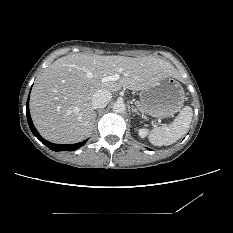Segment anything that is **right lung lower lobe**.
<instances>
[{"label": "right lung lower lobe", "instance_id": "right-lung-lower-lobe-1", "mask_svg": "<svg viewBox=\"0 0 233 233\" xmlns=\"http://www.w3.org/2000/svg\"><path fill=\"white\" fill-rule=\"evenodd\" d=\"M26 114H27V121H28V124H29V127H30L32 133L43 144H45L48 148H50L53 151H74V150H77L78 148H80L81 146H83L86 143V141H83V142H79V143H76V144L65 145V144H54V143H51L49 141L44 140L40 136V134L38 133V131L36 130V128L33 125V122H32L31 116H30V112H29V98H28V101H27V104H26Z\"/></svg>", "mask_w": 233, "mask_h": 233}]
</instances>
